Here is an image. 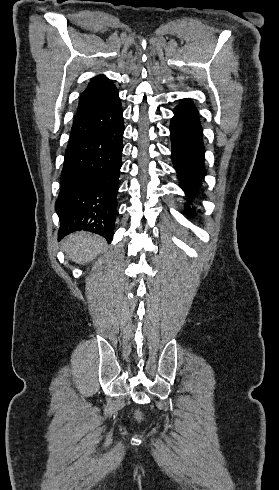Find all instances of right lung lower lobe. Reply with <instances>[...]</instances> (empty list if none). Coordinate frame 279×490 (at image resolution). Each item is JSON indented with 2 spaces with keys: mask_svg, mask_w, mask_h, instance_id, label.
Segmentation results:
<instances>
[{
  "mask_svg": "<svg viewBox=\"0 0 279 490\" xmlns=\"http://www.w3.org/2000/svg\"><path fill=\"white\" fill-rule=\"evenodd\" d=\"M123 119L112 128L68 144L55 203L58 240L74 231L113 237L123 150Z\"/></svg>",
  "mask_w": 279,
  "mask_h": 490,
  "instance_id": "98d812e1",
  "label": "right lung lower lobe"
}]
</instances>
